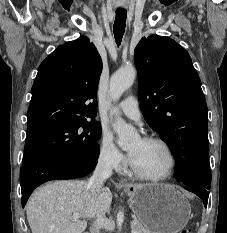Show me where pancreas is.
Wrapping results in <instances>:
<instances>
[{"label":"pancreas","mask_w":227,"mask_h":233,"mask_svg":"<svg viewBox=\"0 0 227 233\" xmlns=\"http://www.w3.org/2000/svg\"><path fill=\"white\" fill-rule=\"evenodd\" d=\"M131 227L135 231V233H151L149 230H147L142 223L138 219H134L131 222Z\"/></svg>","instance_id":"1"}]
</instances>
